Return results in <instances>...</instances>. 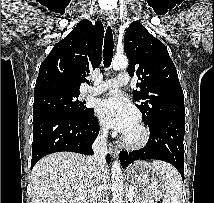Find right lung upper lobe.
Returning <instances> with one entry per match:
<instances>
[{
    "label": "right lung upper lobe",
    "instance_id": "obj_1",
    "mask_svg": "<svg viewBox=\"0 0 214 203\" xmlns=\"http://www.w3.org/2000/svg\"><path fill=\"white\" fill-rule=\"evenodd\" d=\"M104 28L84 19L41 63L34 98L51 93H80V85L101 63Z\"/></svg>",
    "mask_w": 214,
    "mask_h": 203
}]
</instances>
